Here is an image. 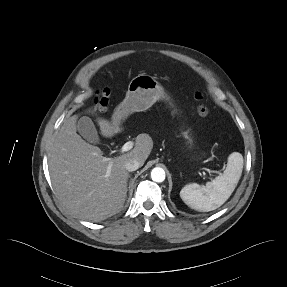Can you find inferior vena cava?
I'll use <instances>...</instances> for the list:
<instances>
[{"instance_id":"1","label":"inferior vena cava","mask_w":287,"mask_h":287,"mask_svg":"<svg viewBox=\"0 0 287 287\" xmlns=\"http://www.w3.org/2000/svg\"><path fill=\"white\" fill-rule=\"evenodd\" d=\"M140 166V162L136 159H128L124 164L125 169L129 172L137 170Z\"/></svg>"}]
</instances>
